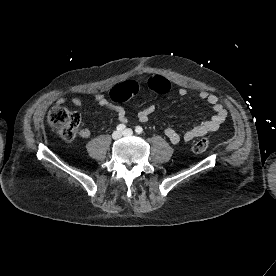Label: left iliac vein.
I'll return each instance as SVG.
<instances>
[{
	"label": "left iliac vein",
	"instance_id": "left-iliac-vein-1",
	"mask_svg": "<svg viewBox=\"0 0 276 276\" xmlns=\"http://www.w3.org/2000/svg\"><path fill=\"white\" fill-rule=\"evenodd\" d=\"M122 134L124 136H131V135H133V131L131 129H126L125 131H123Z\"/></svg>",
	"mask_w": 276,
	"mask_h": 276
}]
</instances>
